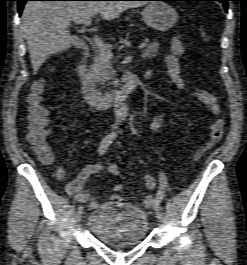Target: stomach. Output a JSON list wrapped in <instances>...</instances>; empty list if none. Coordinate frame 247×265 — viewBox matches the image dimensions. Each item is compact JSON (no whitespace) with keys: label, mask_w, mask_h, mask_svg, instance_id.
Wrapping results in <instances>:
<instances>
[{"label":"stomach","mask_w":247,"mask_h":265,"mask_svg":"<svg viewBox=\"0 0 247 265\" xmlns=\"http://www.w3.org/2000/svg\"><path fill=\"white\" fill-rule=\"evenodd\" d=\"M141 14L146 25L157 31L170 29L178 20L175 9L165 2L150 3Z\"/></svg>","instance_id":"obj_1"}]
</instances>
